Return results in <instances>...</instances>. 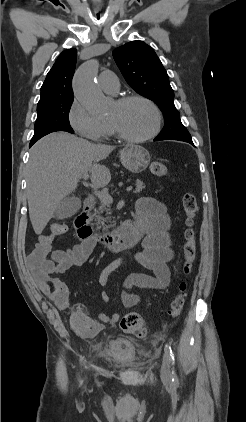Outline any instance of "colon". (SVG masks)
Masks as SVG:
<instances>
[{
  "instance_id": "obj_1",
  "label": "colon",
  "mask_w": 246,
  "mask_h": 422,
  "mask_svg": "<svg viewBox=\"0 0 246 422\" xmlns=\"http://www.w3.org/2000/svg\"><path fill=\"white\" fill-rule=\"evenodd\" d=\"M151 173L158 177L168 175L167 166L159 161L152 162L150 165ZM182 206L186 215L187 228L184 233L183 244V272L189 274L192 264L196 257V235L193 228L194 219L198 211V202L194 194L187 192L182 197ZM68 227L63 223H54L50 226V233L39 237L34 249L28 257V265L36 279L45 278L51 269L49 254L53 240L56 237L66 234ZM186 282H180L178 293L175 295L170 304L169 314L173 318H177L185 304ZM120 326L125 333L136 337H145L147 329L143 318L135 312L126 314L120 321Z\"/></svg>"
}]
</instances>
